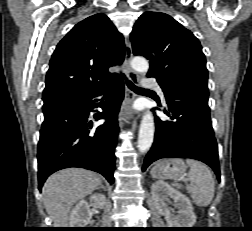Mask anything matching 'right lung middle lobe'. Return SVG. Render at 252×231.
Wrapping results in <instances>:
<instances>
[{"label":"right lung middle lobe","mask_w":252,"mask_h":231,"mask_svg":"<svg viewBox=\"0 0 252 231\" xmlns=\"http://www.w3.org/2000/svg\"><path fill=\"white\" fill-rule=\"evenodd\" d=\"M71 99L72 98H64V99H57V100L44 102V105H43L44 116L63 108L68 103H70Z\"/></svg>","instance_id":"right-lung-middle-lobe-1"}]
</instances>
